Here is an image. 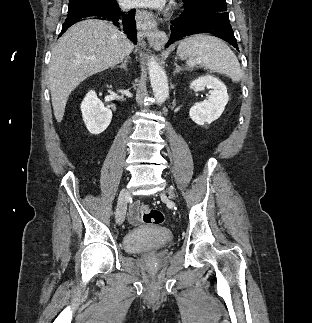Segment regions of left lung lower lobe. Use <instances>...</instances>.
Instances as JSON below:
<instances>
[{"instance_id":"left-lung-lower-lobe-1","label":"left lung lower lobe","mask_w":312,"mask_h":323,"mask_svg":"<svg viewBox=\"0 0 312 323\" xmlns=\"http://www.w3.org/2000/svg\"><path fill=\"white\" fill-rule=\"evenodd\" d=\"M170 30L166 46L186 36L209 33L229 42L239 51L229 22L226 0H204L192 10L184 8L183 13L171 21Z\"/></svg>"}]
</instances>
